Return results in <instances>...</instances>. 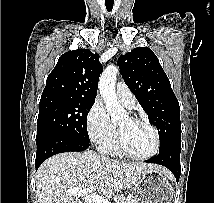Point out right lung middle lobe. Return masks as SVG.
Wrapping results in <instances>:
<instances>
[{
    "mask_svg": "<svg viewBox=\"0 0 214 203\" xmlns=\"http://www.w3.org/2000/svg\"><path fill=\"white\" fill-rule=\"evenodd\" d=\"M95 100L50 97L40 100L36 144L54 136L89 143L87 115Z\"/></svg>",
    "mask_w": 214,
    "mask_h": 203,
    "instance_id": "dd1d6c3e",
    "label": "right lung middle lobe"
}]
</instances>
